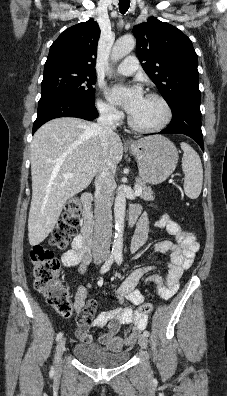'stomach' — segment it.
Segmentation results:
<instances>
[{"label": "stomach", "instance_id": "0dacf381", "mask_svg": "<svg viewBox=\"0 0 227 396\" xmlns=\"http://www.w3.org/2000/svg\"><path fill=\"white\" fill-rule=\"evenodd\" d=\"M129 150L137 160L142 181L157 185L175 170L178 152L175 145L163 136H150L133 142Z\"/></svg>", "mask_w": 227, "mask_h": 396}]
</instances>
